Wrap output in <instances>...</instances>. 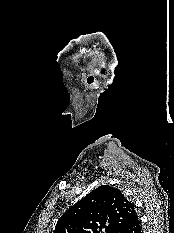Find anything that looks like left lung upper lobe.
<instances>
[{
	"instance_id": "obj_1",
	"label": "left lung upper lobe",
	"mask_w": 174,
	"mask_h": 233,
	"mask_svg": "<svg viewBox=\"0 0 174 233\" xmlns=\"http://www.w3.org/2000/svg\"><path fill=\"white\" fill-rule=\"evenodd\" d=\"M136 215L120 190L101 185L59 218L54 233H119Z\"/></svg>"
}]
</instances>
